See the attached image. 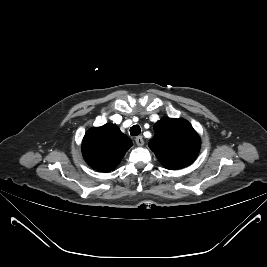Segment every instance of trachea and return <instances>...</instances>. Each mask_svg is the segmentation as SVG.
<instances>
[{
  "label": "trachea",
  "mask_w": 267,
  "mask_h": 267,
  "mask_svg": "<svg viewBox=\"0 0 267 267\" xmlns=\"http://www.w3.org/2000/svg\"><path fill=\"white\" fill-rule=\"evenodd\" d=\"M141 133V128L139 125H133L131 128H130V134L132 136H137Z\"/></svg>",
  "instance_id": "1"
}]
</instances>
